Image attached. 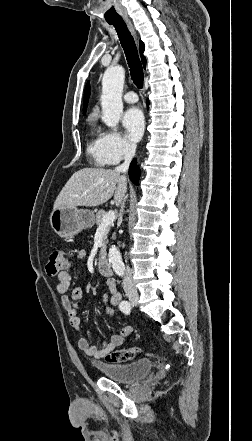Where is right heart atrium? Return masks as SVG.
Instances as JSON below:
<instances>
[{
	"label": "right heart atrium",
	"mask_w": 252,
	"mask_h": 441,
	"mask_svg": "<svg viewBox=\"0 0 252 441\" xmlns=\"http://www.w3.org/2000/svg\"><path fill=\"white\" fill-rule=\"evenodd\" d=\"M102 150L106 163L109 165L118 164L124 159L134 155L135 148L119 132L107 131L102 136Z\"/></svg>",
	"instance_id": "1"
}]
</instances>
